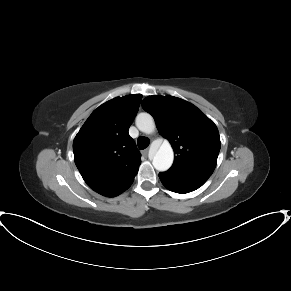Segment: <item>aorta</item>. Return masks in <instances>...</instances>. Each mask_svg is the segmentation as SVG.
<instances>
[{"label":"aorta","mask_w":291,"mask_h":291,"mask_svg":"<svg viewBox=\"0 0 291 291\" xmlns=\"http://www.w3.org/2000/svg\"><path fill=\"white\" fill-rule=\"evenodd\" d=\"M136 126L141 132L146 134H152L156 129L153 117L146 112L137 115ZM173 159V149L168 141H164L156 151L152 163L156 170L164 172L171 167Z\"/></svg>","instance_id":"1"}]
</instances>
